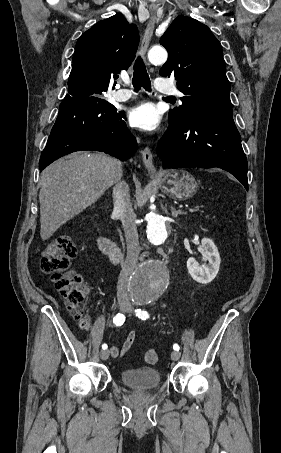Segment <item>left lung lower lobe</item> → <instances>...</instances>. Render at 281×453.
Here are the masks:
<instances>
[{
  "mask_svg": "<svg viewBox=\"0 0 281 453\" xmlns=\"http://www.w3.org/2000/svg\"><path fill=\"white\" fill-rule=\"evenodd\" d=\"M157 153L165 168L218 167L233 174L248 190L247 159L232 110L196 113L169 124Z\"/></svg>",
  "mask_w": 281,
  "mask_h": 453,
  "instance_id": "0a47b994",
  "label": "left lung lower lobe"
}]
</instances>
